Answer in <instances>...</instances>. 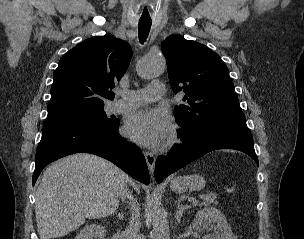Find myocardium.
<instances>
[{
  "label": "myocardium",
  "mask_w": 304,
  "mask_h": 239,
  "mask_svg": "<svg viewBox=\"0 0 304 239\" xmlns=\"http://www.w3.org/2000/svg\"><path fill=\"white\" fill-rule=\"evenodd\" d=\"M178 140H179L178 136L174 135V137L172 138L171 142L172 143H176V142H178Z\"/></svg>",
  "instance_id": "obj_1"
}]
</instances>
